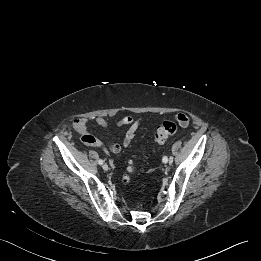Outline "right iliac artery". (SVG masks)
Segmentation results:
<instances>
[{"label": "right iliac artery", "mask_w": 261, "mask_h": 261, "mask_svg": "<svg viewBox=\"0 0 261 261\" xmlns=\"http://www.w3.org/2000/svg\"><path fill=\"white\" fill-rule=\"evenodd\" d=\"M98 163H99L100 165H102V164L104 163V161H103L102 159H100V160L98 161Z\"/></svg>", "instance_id": "right-iliac-artery-1"}]
</instances>
